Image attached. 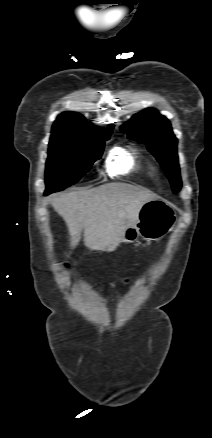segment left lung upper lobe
Instances as JSON below:
<instances>
[{"instance_id":"obj_1","label":"left lung upper lobe","mask_w":212,"mask_h":438,"mask_svg":"<svg viewBox=\"0 0 212 438\" xmlns=\"http://www.w3.org/2000/svg\"><path fill=\"white\" fill-rule=\"evenodd\" d=\"M130 139L147 144L148 150L157 158L169 178L174 193L181 188L177 156V139L169 121L155 109H146L135 114L121 126Z\"/></svg>"}]
</instances>
